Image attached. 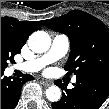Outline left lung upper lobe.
I'll use <instances>...</instances> for the list:
<instances>
[{"instance_id": "obj_1", "label": "left lung upper lobe", "mask_w": 109, "mask_h": 109, "mask_svg": "<svg viewBox=\"0 0 109 109\" xmlns=\"http://www.w3.org/2000/svg\"><path fill=\"white\" fill-rule=\"evenodd\" d=\"M69 37L71 51L64 67L77 76L100 73L109 76V28L94 16L78 10L42 21Z\"/></svg>"}]
</instances>
